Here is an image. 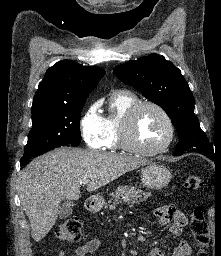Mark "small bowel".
I'll return each instance as SVG.
<instances>
[{
    "mask_svg": "<svg viewBox=\"0 0 221 256\" xmlns=\"http://www.w3.org/2000/svg\"><path fill=\"white\" fill-rule=\"evenodd\" d=\"M154 215L158 218L159 224H170L169 232L174 236H179L187 223L185 215L173 205H165L155 209ZM101 244L100 239L87 240L76 248L75 256H87L98 250ZM191 253V245L186 240H180L173 249V256H190ZM150 255L165 256L159 248H152ZM58 256H64V253L60 252Z\"/></svg>",
    "mask_w": 221,
    "mask_h": 256,
    "instance_id": "1",
    "label": "small bowel"
}]
</instances>
